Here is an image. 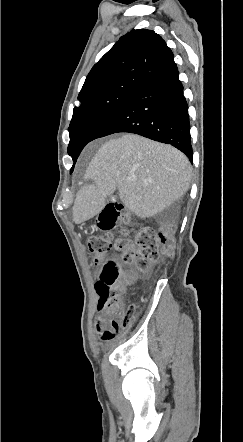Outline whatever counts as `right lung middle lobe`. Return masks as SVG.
Listing matches in <instances>:
<instances>
[{
    "mask_svg": "<svg viewBox=\"0 0 243 442\" xmlns=\"http://www.w3.org/2000/svg\"><path fill=\"white\" fill-rule=\"evenodd\" d=\"M132 91L123 89L106 93L89 99L74 108L68 128L70 135L68 154L72 157L74 164L82 149L92 141L93 135L100 126Z\"/></svg>",
    "mask_w": 243,
    "mask_h": 442,
    "instance_id": "1",
    "label": "right lung middle lobe"
}]
</instances>
